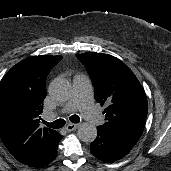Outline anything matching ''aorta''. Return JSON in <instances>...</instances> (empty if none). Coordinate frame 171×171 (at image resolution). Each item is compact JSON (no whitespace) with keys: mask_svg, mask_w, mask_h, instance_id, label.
Wrapping results in <instances>:
<instances>
[{"mask_svg":"<svg viewBox=\"0 0 171 171\" xmlns=\"http://www.w3.org/2000/svg\"><path fill=\"white\" fill-rule=\"evenodd\" d=\"M49 93L55 100H67L71 94V85L65 79H55L50 83ZM77 135L81 141L91 143L97 137V128L91 123H82L78 128Z\"/></svg>","mask_w":171,"mask_h":171,"instance_id":"762f6f07","label":"aorta"}]
</instances>
